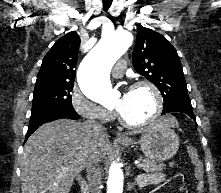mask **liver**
Here are the masks:
<instances>
[{"instance_id": "1", "label": "liver", "mask_w": 221, "mask_h": 193, "mask_svg": "<svg viewBox=\"0 0 221 193\" xmlns=\"http://www.w3.org/2000/svg\"><path fill=\"white\" fill-rule=\"evenodd\" d=\"M159 122L169 127L179 126L171 116H164ZM109 152L106 133H95L85 124L69 119L46 123L24 146L20 163L22 193H69L74 178L86 168L88 159L99 162Z\"/></svg>"}]
</instances>
